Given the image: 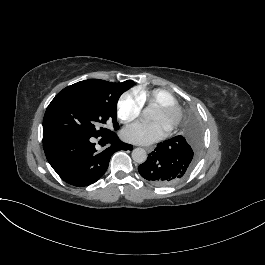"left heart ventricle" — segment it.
<instances>
[{
	"mask_svg": "<svg viewBox=\"0 0 265 265\" xmlns=\"http://www.w3.org/2000/svg\"><path fill=\"white\" fill-rule=\"evenodd\" d=\"M154 122H161L167 127L168 117L155 109L153 120Z\"/></svg>",
	"mask_w": 265,
	"mask_h": 265,
	"instance_id": "left-heart-ventricle-1",
	"label": "left heart ventricle"
}]
</instances>
